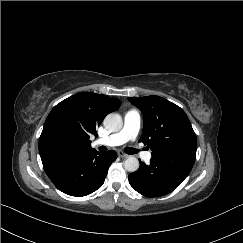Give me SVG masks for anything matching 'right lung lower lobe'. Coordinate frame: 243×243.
I'll list each match as a JSON object with an SVG mask.
<instances>
[{"mask_svg": "<svg viewBox=\"0 0 243 243\" xmlns=\"http://www.w3.org/2000/svg\"><path fill=\"white\" fill-rule=\"evenodd\" d=\"M117 158L110 150H96L83 155L68 157L43 164L44 170L54 185L62 192L76 197L86 196L104 183L108 169Z\"/></svg>", "mask_w": 243, "mask_h": 243, "instance_id": "right-lung-lower-lobe-1", "label": "right lung lower lobe"}]
</instances>
